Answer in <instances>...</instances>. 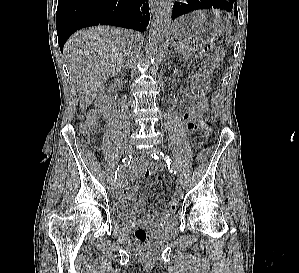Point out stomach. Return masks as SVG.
<instances>
[{
  "label": "stomach",
  "instance_id": "1",
  "mask_svg": "<svg viewBox=\"0 0 299 273\" xmlns=\"http://www.w3.org/2000/svg\"><path fill=\"white\" fill-rule=\"evenodd\" d=\"M229 26V21L218 10H200L177 19L172 27L176 39L185 43H205L218 39ZM205 79L198 77V90L205 86Z\"/></svg>",
  "mask_w": 299,
  "mask_h": 273
}]
</instances>
